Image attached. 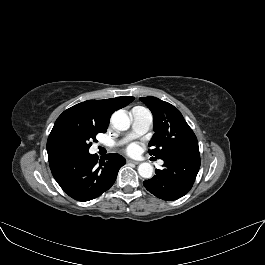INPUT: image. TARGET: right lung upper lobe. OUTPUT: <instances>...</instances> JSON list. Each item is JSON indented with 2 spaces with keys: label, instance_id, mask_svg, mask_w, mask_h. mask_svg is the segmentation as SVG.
<instances>
[{
  "label": "right lung upper lobe",
  "instance_id": "1",
  "mask_svg": "<svg viewBox=\"0 0 265 265\" xmlns=\"http://www.w3.org/2000/svg\"><path fill=\"white\" fill-rule=\"evenodd\" d=\"M134 100L132 96H122L106 100H88L65 110L56 120L47 141L48 159L52 160L62 153L53 145V137L56 132L67 125L90 126L105 133L112 113L121 109Z\"/></svg>",
  "mask_w": 265,
  "mask_h": 265
}]
</instances>
